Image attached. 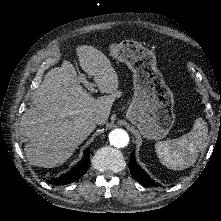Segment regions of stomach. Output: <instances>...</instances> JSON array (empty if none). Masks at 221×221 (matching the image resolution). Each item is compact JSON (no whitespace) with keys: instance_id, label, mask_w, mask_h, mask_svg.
Masks as SVG:
<instances>
[{"instance_id":"1","label":"stomach","mask_w":221,"mask_h":221,"mask_svg":"<svg viewBox=\"0 0 221 221\" xmlns=\"http://www.w3.org/2000/svg\"><path fill=\"white\" fill-rule=\"evenodd\" d=\"M109 53L127 64L133 73L134 94L127 111L128 120L143 137L163 139L175 122L174 95L162 80L157 59L147 47L131 42L112 43Z\"/></svg>"}]
</instances>
